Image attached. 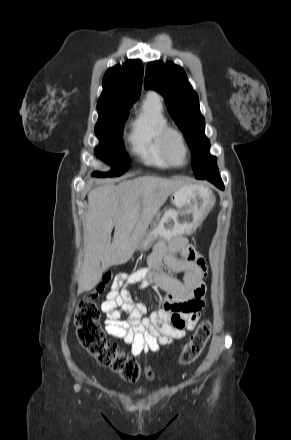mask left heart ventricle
Here are the masks:
<instances>
[{"label": "left heart ventricle", "instance_id": "1", "mask_svg": "<svg viewBox=\"0 0 291 440\" xmlns=\"http://www.w3.org/2000/svg\"><path fill=\"white\" fill-rule=\"evenodd\" d=\"M170 152L173 159L177 162H182L183 160V152L182 149L175 138H172L170 141Z\"/></svg>", "mask_w": 291, "mask_h": 440}]
</instances>
